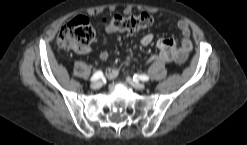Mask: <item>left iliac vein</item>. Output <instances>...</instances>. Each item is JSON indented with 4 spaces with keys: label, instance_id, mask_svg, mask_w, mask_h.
Returning a JSON list of instances; mask_svg holds the SVG:
<instances>
[{
    "label": "left iliac vein",
    "instance_id": "1",
    "mask_svg": "<svg viewBox=\"0 0 247 145\" xmlns=\"http://www.w3.org/2000/svg\"><path fill=\"white\" fill-rule=\"evenodd\" d=\"M127 82L134 87L137 90H144L146 88V85L144 83H141L139 81H134L132 78L127 77Z\"/></svg>",
    "mask_w": 247,
    "mask_h": 145
}]
</instances>
